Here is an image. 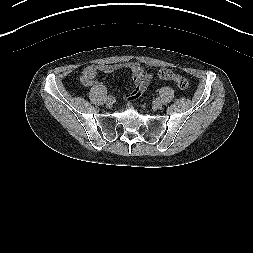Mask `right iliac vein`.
Here are the masks:
<instances>
[{
    "label": "right iliac vein",
    "mask_w": 253,
    "mask_h": 253,
    "mask_svg": "<svg viewBox=\"0 0 253 253\" xmlns=\"http://www.w3.org/2000/svg\"><path fill=\"white\" fill-rule=\"evenodd\" d=\"M107 105L110 107L113 105V99L112 98H108L107 99Z\"/></svg>",
    "instance_id": "1"
}]
</instances>
